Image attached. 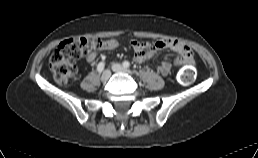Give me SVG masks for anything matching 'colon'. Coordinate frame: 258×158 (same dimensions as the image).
Masks as SVG:
<instances>
[{"mask_svg": "<svg viewBox=\"0 0 258 158\" xmlns=\"http://www.w3.org/2000/svg\"><path fill=\"white\" fill-rule=\"evenodd\" d=\"M102 41L87 38H69L61 42L50 57L49 67L55 81L67 84L76 73V61L91 50L100 48ZM194 70L189 65L179 75L181 84L187 85L194 80Z\"/></svg>", "mask_w": 258, "mask_h": 158, "instance_id": "colon-1", "label": "colon"}]
</instances>
